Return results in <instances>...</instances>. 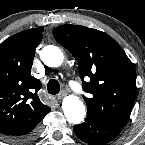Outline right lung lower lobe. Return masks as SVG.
<instances>
[{"label": "right lung lower lobe", "mask_w": 145, "mask_h": 145, "mask_svg": "<svg viewBox=\"0 0 145 145\" xmlns=\"http://www.w3.org/2000/svg\"><path fill=\"white\" fill-rule=\"evenodd\" d=\"M37 131H38V126L36 124L23 131L16 132V133H5V134H2L1 136L9 140H28V139L33 138L37 134Z\"/></svg>", "instance_id": "obj_1"}]
</instances>
